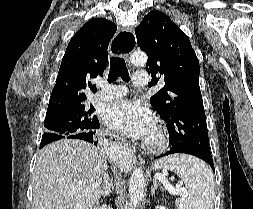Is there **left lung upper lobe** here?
Masks as SVG:
<instances>
[{"label": "left lung upper lobe", "instance_id": "5c2ea615", "mask_svg": "<svg viewBox=\"0 0 253 209\" xmlns=\"http://www.w3.org/2000/svg\"><path fill=\"white\" fill-rule=\"evenodd\" d=\"M138 46L148 55V86L165 85L150 99L167 124L172 150L211 155L199 61L189 38L162 12L153 10L135 29Z\"/></svg>", "mask_w": 253, "mask_h": 209}]
</instances>
